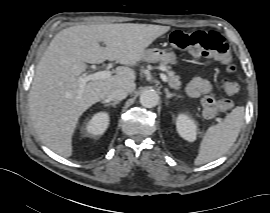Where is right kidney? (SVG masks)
I'll return each instance as SVG.
<instances>
[{"label":"right kidney","instance_id":"1","mask_svg":"<svg viewBox=\"0 0 270 213\" xmlns=\"http://www.w3.org/2000/svg\"><path fill=\"white\" fill-rule=\"evenodd\" d=\"M109 124V114L107 112H99L95 114L85 126L86 132L92 136L101 135L107 129Z\"/></svg>","mask_w":270,"mask_h":213}]
</instances>
